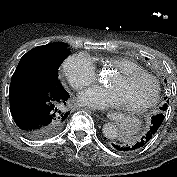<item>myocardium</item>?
Listing matches in <instances>:
<instances>
[{
	"instance_id": "obj_1",
	"label": "myocardium",
	"mask_w": 177,
	"mask_h": 177,
	"mask_svg": "<svg viewBox=\"0 0 177 177\" xmlns=\"http://www.w3.org/2000/svg\"><path fill=\"white\" fill-rule=\"evenodd\" d=\"M119 77L122 79H136V78H145L152 83L153 90L150 96L143 102L135 105H123V108L128 111L139 112L143 111L150 106H152L158 99L160 94V83L159 80L152 74L145 71H128V72H119Z\"/></svg>"
}]
</instances>
